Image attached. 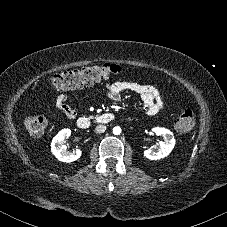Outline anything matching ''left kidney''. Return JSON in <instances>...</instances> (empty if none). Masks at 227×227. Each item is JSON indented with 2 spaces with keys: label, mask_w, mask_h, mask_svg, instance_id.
<instances>
[{
  "label": "left kidney",
  "mask_w": 227,
  "mask_h": 227,
  "mask_svg": "<svg viewBox=\"0 0 227 227\" xmlns=\"http://www.w3.org/2000/svg\"><path fill=\"white\" fill-rule=\"evenodd\" d=\"M152 131L156 135L162 136L163 141L160 142V148L158 150H154L151 148L145 150L144 156L150 160H159L168 156L171 153L176 141L173 136V133L166 128L154 127Z\"/></svg>",
  "instance_id": "obj_1"
}]
</instances>
